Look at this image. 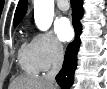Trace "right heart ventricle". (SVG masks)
<instances>
[{"mask_svg":"<svg viewBox=\"0 0 107 89\" xmlns=\"http://www.w3.org/2000/svg\"><path fill=\"white\" fill-rule=\"evenodd\" d=\"M18 60L21 69L30 75L38 74L40 68L38 66L34 49L31 42H23L18 51Z\"/></svg>","mask_w":107,"mask_h":89,"instance_id":"e07e8e85","label":"right heart ventricle"}]
</instances>
